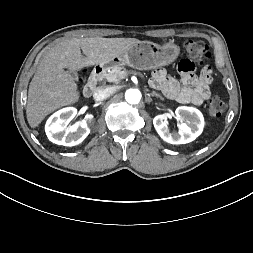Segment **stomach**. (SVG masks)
<instances>
[{
  "label": "stomach",
  "mask_w": 253,
  "mask_h": 253,
  "mask_svg": "<svg viewBox=\"0 0 253 253\" xmlns=\"http://www.w3.org/2000/svg\"><path fill=\"white\" fill-rule=\"evenodd\" d=\"M180 48L174 42L169 41L162 46L149 41H142L119 56L114 57L104 68L111 66L128 65L138 70H149L168 65L175 61ZM103 67V65H100Z\"/></svg>",
  "instance_id": "0dacf381"
}]
</instances>
